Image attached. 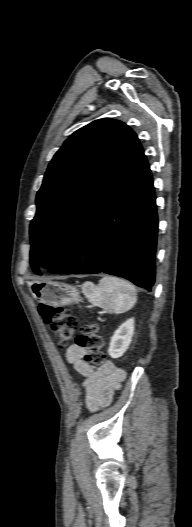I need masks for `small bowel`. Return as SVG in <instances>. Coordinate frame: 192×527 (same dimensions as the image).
<instances>
[{"mask_svg":"<svg viewBox=\"0 0 192 527\" xmlns=\"http://www.w3.org/2000/svg\"><path fill=\"white\" fill-rule=\"evenodd\" d=\"M85 353V349L73 344L66 351V360L85 378V404L89 410L95 411L111 402L114 391L125 378V373L110 361L101 368H94L84 360Z\"/></svg>","mask_w":192,"mask_h":527,"instance_id":"obj_1","label":"small bowel"}]
</instances>
